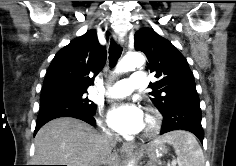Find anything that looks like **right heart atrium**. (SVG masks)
I'll use <instances>...</instances> for the list:
<instances>
[{
	"label": "right heart atrium",
	"instance_id": "obj_1",
	"mask_svg": "<svg viewBox=\"0 0 236 166\" xmlns=\"http://www.w3.org/2000/svg\"><path fill=\"white\" fill-rule=\"evenodd\" d=\"M97 123L100 126V128L102 129V131L109 137H112V133L111 131L106 127L104 120H103V116L101 112H98L97 115Z\"/></svg>",
	"mask_w": 236,
	"mask_h": 166
}]
</instances>
